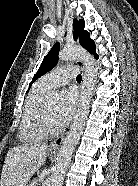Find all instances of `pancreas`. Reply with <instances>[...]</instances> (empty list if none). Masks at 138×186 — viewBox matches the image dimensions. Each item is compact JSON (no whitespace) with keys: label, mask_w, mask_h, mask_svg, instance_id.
<instances>
[{"label":"pancreas","mask_w":138,"mask_h":186,"mask_svg":"<svg viewBox=\"0 0 138 186\" xmlns=\"http://www.w3.org/2000/svg\"><path fill=\"white\" fill-rule=\"evenodd\" d=\"M28 186H38L37 179L32 180L31 183Z\"/></svg>","instance_id":"pancreas-1"}]
</instances>
